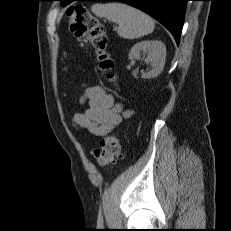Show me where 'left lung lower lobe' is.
<instances>
[{
  "label": "left lung lower lobe",
  "mask_w": 231,
  "mask_h": 231,
  "mask_svg": "<svg viewBox=\"0 0 231 231\" xmlns=\"http://www.w3.org/2000/svg\"><path fill=\"white\" fill-rule=\"evenodd\" d=\"M72 1L64 0L62 6ZM78 1H121L134 6L154 17L163 24L179 44L184 22L186 2L189 0H78Z\"/></svg>",
  "instance_id": "obj_1"
}]
</instances>
